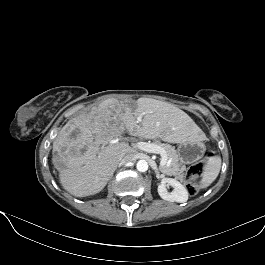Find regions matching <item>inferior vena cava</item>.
I'll list each match as a JSON object with an SVG mask.
<instances>
[{
  "instance_id": "inferior-vena-cava-1",
  "label": "inferior vena cava",
  "mask_w": 265,
  "mask_h": 265,
  "mask_svg": "<svg viewBox=\"0 0 265 265\" xmlns=\"http://www.w3.org/2000/svg\"><path fill=\"white\" fill-rule=\"evenodd\" d=\"M135 160V157L133 154H126L124 157H122L120 159V161L118 162V165H123L125 163H129Z\"/></svg>"
}]
</instances>
